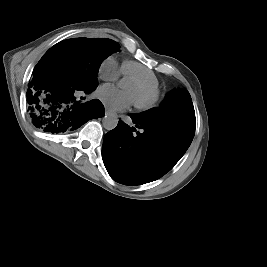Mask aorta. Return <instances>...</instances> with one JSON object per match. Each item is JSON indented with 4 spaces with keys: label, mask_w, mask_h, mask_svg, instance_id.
I'll return each mask as SVG.
<instances>
[{
    "label": "aorta",
    "mask_w": 267,
    "mask_h": 267,
    "mask_svg": "<svg viewBox=\"0 0 267 267\" xmlns=\"http://www.w3.org/2000/svg\"><path fill=\"white\" fill-rule=\"evenodd\" d=\"M102 124L106 130H113L118 124V118L115 114H106L102 119Z\"/></svg>",
    "instance_id": "obj_1"
}]
</instances>
